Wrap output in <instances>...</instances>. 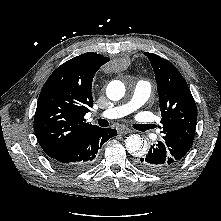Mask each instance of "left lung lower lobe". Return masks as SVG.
Returning <instances> with one entry per match:
<instances>
[{"label":"left lung lower lobe","mask_w":221,"mask_h":221,"mask_svg":"<svg viewBox=\"0 0 221 221\" xmlns=\"http://www.w3.org/2000/svg\"><path fill=\"white\" fill-rule=\"evenodd\" d=\"M136 165L146 172L162 174L174 169L178 163L166 144L158 141L146 155L136 160Z\"/></svg>","instance_id":"left-lung-lower-lobe-1"}]
</instances>
